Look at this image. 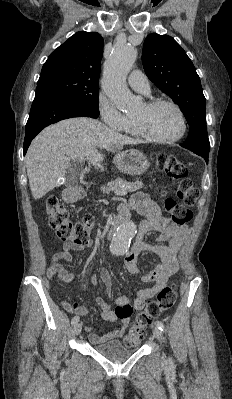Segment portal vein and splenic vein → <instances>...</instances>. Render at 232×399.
<instances>
[{
	"instance_id": "18ae733b",
	"label": "portal vein and splenic vein",
	"mask_w": 232,
	"mask_h": 399,
	"mask_svg": "<svg viewBox=\"0 0 232 399\" xmlns=\"http://www.w3.org/2000/svg\"><path fill=\"white\" fill-rule=\"evenodd\" d=\"M84 158H80V160H78L79 164H82ZM116 196H126L127 192H115Z\"/></svg>"
}]
</instances>
